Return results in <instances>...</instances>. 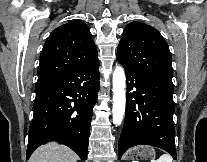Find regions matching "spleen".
<instances>
[{
	"label": "spleen",
	"mask_w": 207,
	"mask_h": 162,
	"mask_svg": "<svg viewBox=\"0 0 207 162\" xmlns=\"http://www.w3.org/2000/svg\"><path fill=\"white\" fill-rule=\"evenodd\" d=\"M173 158L168 154H163L158 160H152L151 162H172Z\"/></svg>",
	"instance_id": "spleen-1"
}]
</instances>
